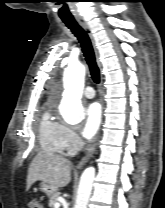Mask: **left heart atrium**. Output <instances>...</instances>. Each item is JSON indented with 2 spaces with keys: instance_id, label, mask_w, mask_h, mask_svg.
<instances>
[{
  "instance_id": "obj_1",
  "label": "left heart atrium",
  "mask_w": 165,
  "mask_h": 208,
  "mask_svg": "<svg viewBox=\"0 0 165 208\" xmlns=\"http://www.w3.org/2000/svg\"><path fill=\"white\" fill-rule=\"evenodd\" d=\"M101 123V107L98 103H90L85 108V118L81 128L83 137L92 138Z\"/></svg>"
}]
</instances>
